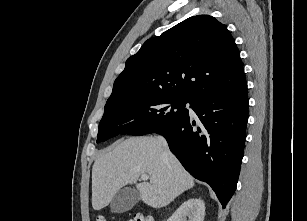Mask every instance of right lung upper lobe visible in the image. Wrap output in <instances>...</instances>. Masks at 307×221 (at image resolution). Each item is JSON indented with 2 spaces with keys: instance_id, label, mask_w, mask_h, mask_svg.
<instances>
[{
  "instance_id": "1",
  "label": "right lung upper lobe",
  "mask_w": 307,
  "mask_h": 221,
  "mask_svg": "<svg viewBox=\"0 0 307 221\" xmlns=\"http://www.w3.org/2000/svg\"><path fill=\"white\" fill-rule=\"evenodd\" d=\"M244 85L243 65L231 33L214 17L198 15L147 40L129 57L106 104L146 93L193 102Z\"/></svg>"
}]
</instances>
